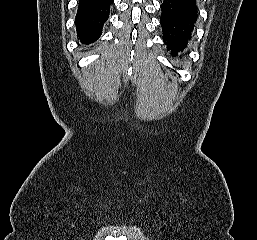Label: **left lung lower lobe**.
Returning a JSON list of instances; mask_svg holds the SVG:
<instances>
[{"label": "left lung lower lobe", "mask_w": 257, "mask_h": 240, "mask_svg": "<svg viewBox=\"0 0 257 240\" xmlns=\"http://www.w3.org/2000/svg\"><path fill=\"white\" fill-rule=\"evenodd\" d=\"M163 41L173 57L187 46L198 17L196 0H162Z\"/></svg>", "instance_id": "obj_1"}]
</instances>
